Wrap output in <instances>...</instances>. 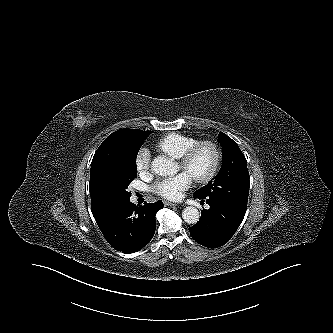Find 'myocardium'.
Listing matches in <instances>:
<instances>
[{
  "instance_id": "1",
  "label": "myocardium",
  "mask_w": 333,
  "mask_h": 333,
  "mask_svg": "<svg viewBox=\"0 0 333 333\" xmlns=\"http://www.w3.org/2000/svg\"><path fill=\"white\" fill-rule=\"evenodd\" d=\"M202 148H207L211 154H212V163L207 171L202 176H193V179L197 183H208L211 181L217 174L220 163H221V152L218 148V146L209 140H204V141H199L196 144H194L192 147H190L181 158H179V164L183 167L186 168L190 165L198 151Z\"/></svg>"
}]
</instances>
